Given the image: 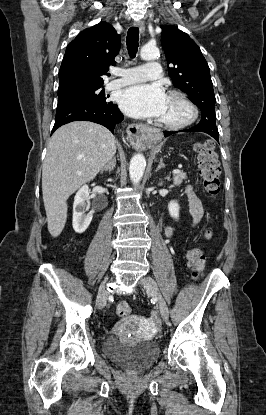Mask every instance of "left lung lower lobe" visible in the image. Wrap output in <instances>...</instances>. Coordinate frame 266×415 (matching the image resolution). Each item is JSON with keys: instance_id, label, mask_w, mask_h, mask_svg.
I'll use <instances>...</instances> for the list:
<instances>
[{"instance_id": "obj_1", "label": "left lung lower lobe", "mask_w": 266, "mask_h": 415, "mask_svg": "<svg viewBox=\"0 0 266 415\" xmlns=\"http://www.w3.org/2000/svg\"><path fill=\"white\" fill-rule=\"evenodd\" d=\"M182 131H194L193 128L189 129V130H182ZM176 132H170V131H165L164 135L165 137L170 136L171 134H174ZM213 138H215L217 141L219 140V136H212Z\"/></svg>"}]
</instances>
